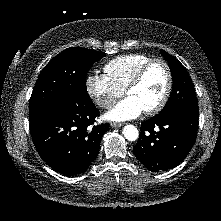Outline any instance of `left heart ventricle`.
Returning <instances> with one entry per match:
<instances>
[{"label": "left heart ventricle", "instance_id": "1", "mask_svg": "<svg viewBox=\"0 0 221 221\" xmlns=\"http://www.w3.org/2000/svg\"><path fill=\"white\" fill-rule=\"evenodd\" d=\"M167 77L165 69L160 64H155L149 68L141 82L128 93L143 111L155 106L161 99L165 87Z\"/></svg>", "mask_w": 221, "mask_h": 221}]
</instances>
